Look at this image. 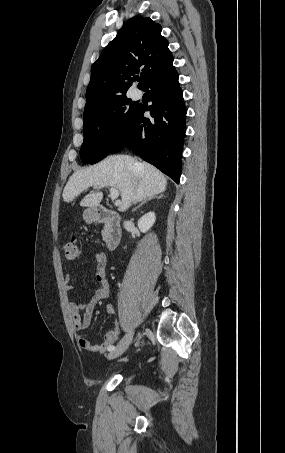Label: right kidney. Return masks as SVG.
I'll list each match as a JSON object with an SVG mask.
<instances>
[{"label":"right kidney","instance_id":"ca27d5eb","mask_svg":"<svg viewBox=\"0 0 285 453\" xmlns=\"http://www.w3.org/2000/svg\"><path fill=\"white\" fill-rule=\"evenodd\" d=\"M155 213L148 212L138 220V228L141 232H147L155 223Z\"/></svg>","mask_w":285,"mask_h":453}]
</instances>
